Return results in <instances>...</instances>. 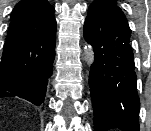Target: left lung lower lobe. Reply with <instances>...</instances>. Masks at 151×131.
<instances>
[{
	"label": "left lung lower lobe",
	"mask_w": 151,
	"mask_h": 131,
	"mask_svg": "<svg viewBox=\"0 0 151 131\" xmlns=\"http://www.w3.org/2000/svg\"><path fill=\"white\" fill-rule=\"evenodd\" d=\"M83 33L95 53L89 75L94 130L139 131L140 102L125 15L110 4L90 7Z\"/></svg>",
	"instance_id": "obj_1"
}]
</instances>
